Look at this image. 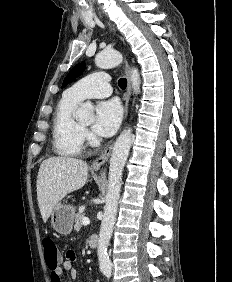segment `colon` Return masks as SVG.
<instances>
[{
	"label": "colon",
	"instance_id": "1",
	"mask_svg": "<svg viewBox=\"0 0 232 282\" xmlns=\"http://www.w3.org/2000/svg\"><path fill=\"white\" fill-rule=\"evenodd\" d=\"M42 245L46 265L51 271H54L60 266L61 262V256L57 245L51 238H44Z\"/></svg>",
	"mask_w": 232,
	"mask_h": 282
}]
</instances>
